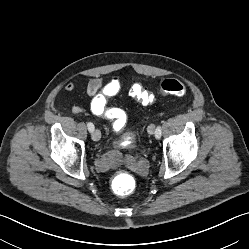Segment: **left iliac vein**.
Returning a JSON list of instances; mask_svg holds the SVG:
<instances>
[{
  "instance_id": "4c4485c4",
  "label": "left iliac vein",
  "mask_w": 249,
  "mask_h": 249,
  "mask_svg": "<svg viewBox=\"0 0 249 249\" xmlns=\"http://www.w3.org/2000/svg\"><path fill=\"white\" fill-rule=\"evenodd\" d=\"M154 128H155V126L153 124L149 125L148 126V133L149 134H154Z\"/></svg>"
}]
</instances>
